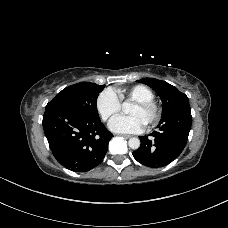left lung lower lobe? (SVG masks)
Wrapping results in <instances>:
<instances>
[{"mask_svg":"<svg viewBox=\"0 0 228 228\" xmlns=\"http://www.w3.org/2000/svg\"><path fill=\"white\" fill-rule=\"evenodd\" d=\"M180 111L181 122H174V116L169 115L160 120L157 131L140 137L141 145L133 152L139 163L159 168L168 165L181 154L188 140L192 116L190 106H183Z\"/></svg>","mask_w":228,"mask_h":228,"instance_id":"obj_1","label":"left lung lower lobe"}]
</instances>
